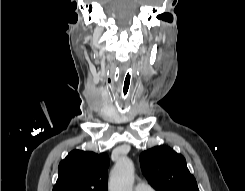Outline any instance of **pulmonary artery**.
<instances>
[{
  "label": "pulmonary artery",
  "mask_w": 245,
  "mask_h": 191,
  "mask_svg": "<svg viewBox=\"0 0 245 191\" xmlns=\"http://www.w3.org/2000/svg\"><path fill=\"white\" fill-rule=\"evenodd\" d=\"M134 191H154V189L145 182H140L135 186Z\"/></svg>",
  "instance_id": "e3ab8cb5"
}]
</instances>
